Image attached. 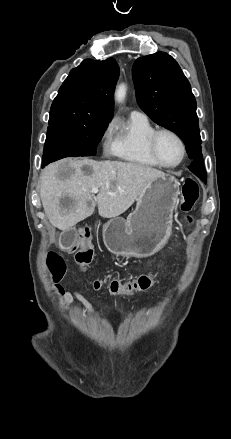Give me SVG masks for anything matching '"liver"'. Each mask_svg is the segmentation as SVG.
Returning a JSON list of instances; mask_svg holds the SVG:
<instances>
[{"instance_id": "1", "label": "liver", "mask_w": 231, "mask_h": 439, "mask_svg": "<svg viewBox=\"0 0 231 439\" xmlns=\"http://www.w3.org/2000/svg\"><path fill=\"white\" fill-rule=\"evenodd\" d=\"M163 175L136 163L63 159L42 171L40 198L50 223L67 231L91 216L95 206L103 218L123 214L150 182ZM94 187L99 193L93 199Z\"/></svg>"}]
</instances>
